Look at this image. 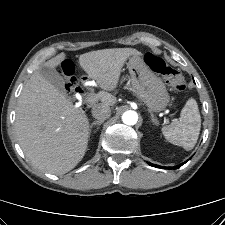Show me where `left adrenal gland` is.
Listing matches in <instances>:
<instances>
[{"instance_id":"a2214340","label":"left adrenal gland","mask_w":225,"mask_h":225,"mask_svg":"<svg viewBox=\"0 0 225 225\" xmlns=\"http://www.w3.org/2000/svg\"><path fill=\"white\" fill-rule=\"evenodd\" d=\"M151 114V121L153 124H155L156 126H158L159 122L158 120L154 117V114L152 112H150Z\"/></svg>"}]
</instances>
